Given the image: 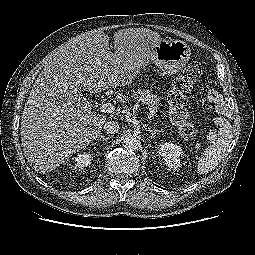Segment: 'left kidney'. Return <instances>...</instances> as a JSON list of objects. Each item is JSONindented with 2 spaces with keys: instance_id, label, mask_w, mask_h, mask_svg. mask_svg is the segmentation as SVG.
Instances as JSON below:
<instances>
[{
  "instance_id": "1",
  "label": "left kidney",
  "mask_w": 255,
  "mask_h": 255,
  "mask_svg": "<svg viewBox=\"0 0 255 255\" xmlns=\"http://www.w3.org/2000/svg\"><path fill=\"white\" fill-rule=\"evenodd\" d=\"M158 153L164 158L165 165L170 169H178L180 167L183 150L180 146L170 143L162 142L157 147Z\"/></svg>"
}]
</instances>
